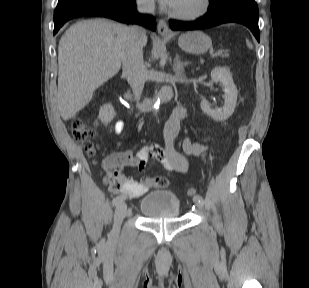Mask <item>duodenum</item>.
<instances>
[{
  "label": "duodenum",
  "mask_w": 309,
  "mask_h": 288,
  "mask_svg": "<svg viewBox=\"0 0 309 288\" xmlns=\"http://www.w3.org/2000/svg\"><path fill=\"white\" fill-rule=\"evenodd\" d=\"M172 95L173 94H172V90L170 89V87H164L162 89V91L155 98L151 99L148 102L142 103L141 107L144 110L152 109L158 103L159 104H164V103L169 102L172 99ZM125 96H126V98L128 100H133V98H132V96L130 94L127 93Z\"/></svg>",
  "instance_id": "obj_1"
}]
</instances>
